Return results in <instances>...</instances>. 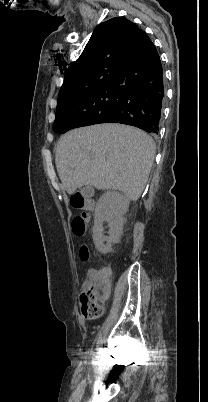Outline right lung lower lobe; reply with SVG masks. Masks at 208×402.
Listing matches in <instances>:
<instances>
[{"instance_id": "1", "label": "right lung lower lobe", "mask_w": 208, "mask_h": 402, "mask_svg": "<svg viewBox=\"0 0 208 402\" xmlns=\"http://www.w3.org/2000/svg\"><path fill=\"white\" fill-rule=\"evenodd\" d=\"M116 106L85 120L61 121L57 133L99 123H121L158 134L164 103L163 70L159 54L147 36L119 72Z\"/></svg>"}]
</instances>
